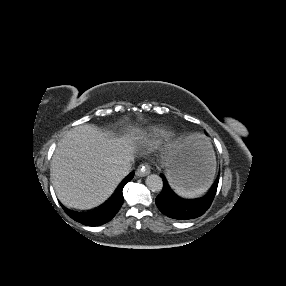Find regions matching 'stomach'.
<instances>
[{
  "label": "stomach",
  "mask_w": 286,
  "mask_h": 286,
  "mask_svg": "<svg viewBox=\"0 0 286 286\" xmlns=\"http://www.w3.org/2000/svg\"><path fill=\"white\" fill-rule=\"evenodd\" d=\"M163 164L171 184L189 189L210 184L216 168L210 143L194 135L184 139L172 153L167 152Z\"/></svg>",
  "instance_id": "0dacf381"
}]
</instances>
